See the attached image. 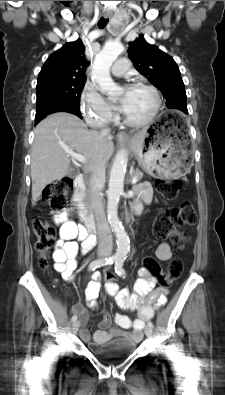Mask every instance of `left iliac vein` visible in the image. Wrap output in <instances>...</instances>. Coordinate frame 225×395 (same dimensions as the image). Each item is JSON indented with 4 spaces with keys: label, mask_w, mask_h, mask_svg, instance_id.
<instances>
[{
    "label": "left iliac vein",
    "mask_w": 225,
    "mask_h": 395,
    "mask_svg": "<svg viewBox=\"0 0 225 395\" xmlns=\"http://www.w3.org/2000/svg\"><path fill=\"white\" fill-rule=\"evenodd\" d=\"M144 332H145V335H146L147 337H151L152 334H153L152 328L149 327V326H146V327H145Z\"/></svg>",
    "instance_id": "1"
}]
</instances>
